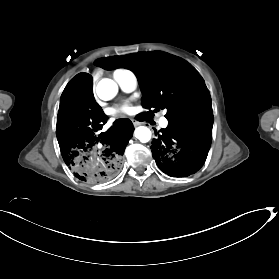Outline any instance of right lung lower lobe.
Instances as JSON below:
<instances>
[{
	"instance_id": "obj_1",
	"label": "right lung lower lobe",
	"mask_w": 279,
	"mask_h": 279,
	"mask_svg": "<svg viewBox=\"0 0 279 279\" xmlns=\"http://www.w3.org/2000/svg\"><path fill=\"white\" fill-rule=\"evenodd\" d=\"M92 85L87 73L67 84L60 99L56 134L63 160L75 177L96 184L118 174L134 127L129 119H118L100 133L107 116L95 102Z\"/></svg>"
}]
</instances>
